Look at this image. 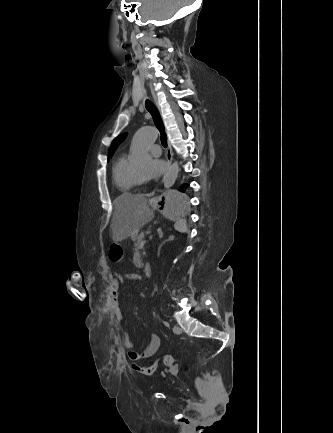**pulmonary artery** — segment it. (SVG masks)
<instances>
[{
    "mask_svg": "<svg viewBox=\"0 0 333 433\" xmlns=\"http://www.w3.org/2000/svg\"><path fill=\"white\" fill-rule=\"evenodd\" d=\"M150 153H151L153 156H160L161 153H162V149H161L160 145H158V144H154V145H152V146L150 147Z\"/></svg>",
    "mask_w": 333,
    "mask_h": 433,
    "instance_id": "obj_1",
    "label": "pulmonary artery"
}]
</instances>
